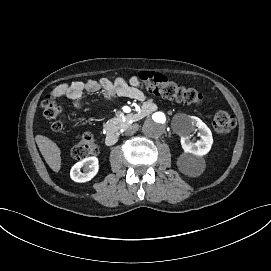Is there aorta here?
I'll return each mask as SVG.
<instances>
[{"label":"aorta","mask_w":271,"mask_h":271,"mask_svg":"<svg viewBox=\"0 0 271 271\" xmlns=\"http://www.w3.org/2000/svg\"><path fill=\"white\" fill-rule=\"evenodd\" d=\"M167 124V115L162 111H156L146 118L143 125V132L149 137L157 138L166 131Z\"/></svg>","instance_id":"aorta-1"}]
</instances>
